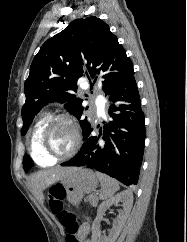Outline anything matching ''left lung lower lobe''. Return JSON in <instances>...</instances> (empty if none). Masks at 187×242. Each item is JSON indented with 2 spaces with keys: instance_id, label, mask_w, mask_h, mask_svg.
<instances>
[{
  "instance_id": "left-lung-lower-lobe-1",
  "label": "left lung lower lobe",
  "mask_w": 187,
  "mask_h": 242,
  "mask_svg": "<svg viewBox=\"0 0 187 242\" xmlns=\"http://www.w3.org/2000/svg\"><path fill=\"white\" fill-rule=\"evenodd\" d=\"M109 99L110 122L104 125L102 136H93L91 128L80 151L61 165L84 166L127 186L136 185L144 153L145 117L134 76L114 90Z\"/></svg>"
}]
</instances>
